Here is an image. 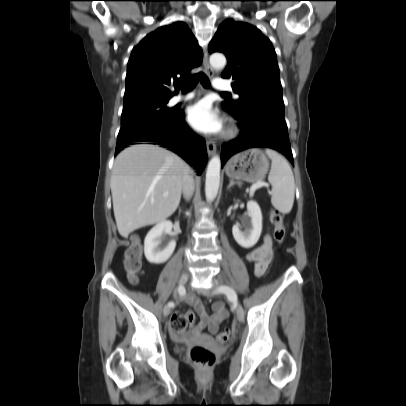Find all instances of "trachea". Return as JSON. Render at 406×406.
Masks as SVG:
<instances>
[{"label": "trachea", "instance_id": "obj_1", "mask_svg": "<svg viewBox=\"0 0 406 406\" xmlns=\"http://www.w3.org/2000/svg\"><path fill=\"white\" fill-rule=\"evenodd\" d=\"M201 84L203 85L204 88H210V81L209 78L204 74V73H198L195 76H193L192 78H190L189 80L178 84V87L183 91V92H188L193 90L196 85L197 82L199 81ZM222 94L228 95V93L223 92Z\"/></svg>", "mask_w": 406, "mask_h": 406}]
</instances>
